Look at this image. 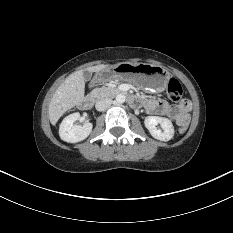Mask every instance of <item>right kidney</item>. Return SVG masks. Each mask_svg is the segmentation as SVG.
Masks as SVG:
<instances>
[{
  "label": "right kidney",
  "instance_id": "1",
  "mask_svg": "<svg viewBox=\"0 0 233 233\" xmlns=\"http://www.w3.org/2000/svg\"><path fill=\"white\" fill-rule=\"evenodd\" d=\"M80 118L78 112L66 116L60 124V138L68 143H77L86 139L92 131V123L86 122L82 126L74 125V122Z\"/></svg>",
  "mask_w": 233,
  "mask_h": 233
}]
</instances>
